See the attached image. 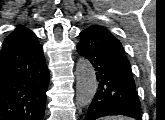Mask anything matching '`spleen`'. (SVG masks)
<instances>
[{
    "mask_svg": "<svg viewBox=\"0 0 165 120\" xmlns=\"http://www.w3.org/2000/svg\"><path fill=\"white\" fill-rule=\"evenodd\" d=\"M103 120H132V119L120 115V116H108V117H104Z\"/></svg>",
    "mask_w": 165,
    "mask_h": 120,
    "instance_id": "spleen-1",
    "label": "spleen"
}]
</instances>
